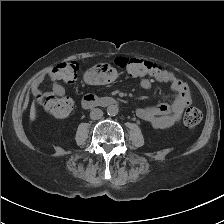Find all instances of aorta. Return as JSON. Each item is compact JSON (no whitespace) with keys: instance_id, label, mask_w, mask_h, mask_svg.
<instances>
[{"instance_id":"1","label":"aorta","mask_w":224,"mask_h":224,"mask_svg":"<svg viewBox=\"0 0 224 224\" xmlns=\"http://www.w3.org/2000/svg\"><path fill=\"white\" fill-rule=\"evenodd\" d=\"M119 108L117 105H109L107 107V114L110 116H115L118 114Z\"/></svg>"}]
</instances>
